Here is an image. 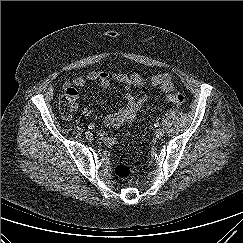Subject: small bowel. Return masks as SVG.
Segmentation results:
<instances>
[{
	"instance_id": "obj_1",
	"label": "small bowel",
	"mask_w": 243,
	"mask_h": 243,
	"mask_svg": "<svg viewBox=\"0 0 243 243\" xmlns=\"http://www.w3.org/2000/svg\"><path fill=\"white\" fill-rule=\"evenodd\" d=\"M112 80L123 85L126 104L115 113L108 114L105 117L104 124L111 128L121 127L133 120L137 116L141 107L149 102L150 97L147 94L138 98L134 97L131 94L133 88H140L149 85L159 88L164 93L170 92L173 89L172 78L168 73L155 74L148 79H144L137 73L128 75L121 72L109 73L107 71L89 72L85 77L80 76L71 81L65 82L64 87L66 90H70L75 98L77 96L75 88L83 87L88 81L97 82L101 88L105 89L109 87ZM91 113L92 110L89 107H84L82 109V114L84 116H90ZM99 137L107 144L114 143V138L104 132H100Z\"/></svg>"
}]
</instances>
